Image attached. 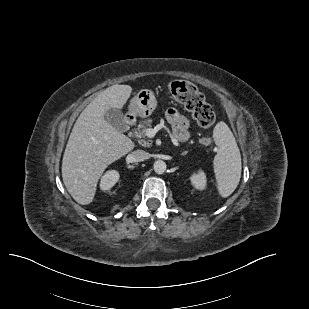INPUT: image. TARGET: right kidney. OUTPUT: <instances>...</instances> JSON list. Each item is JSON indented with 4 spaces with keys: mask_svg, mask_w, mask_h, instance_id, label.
<instances>
[{
    "mask_svg": "<svg viewBox=\"0 0 309 309\" xmlns=\"http://www.w3.org/2000/svg\"><path fill=\"white\" fill-rule=\"evenodd\" d=\"M119 180V173L115 170L108 171L100 181V188L104 191L110 190Z\"/></svg>",
    "mask_w": 309,
    "mask_h": 309,
    "instance_id": "1",
    "label": "right kidney"
}]
</instances>
